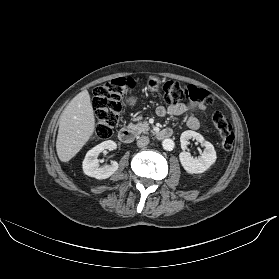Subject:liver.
Wrapping results in <instances>:
<instances>
[{
    "instance_id": "1",
    "label": "liver",
    "mask_w": 279,
    "mask_h": 279,
    "mask_svg": "<svg viewBox=\"0 0 279 279\" xmlns=\"http://www.w3.org/2000/svg\"><path fill=\"white\" fill-rule=\"evenodd\" d=\"M95 130V117L87 90L77 94L59 118L56 151L62 162L71 160L88 142Z\"/></svg>"
}]
</instances>
